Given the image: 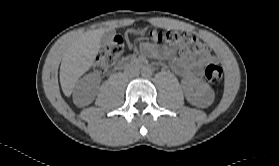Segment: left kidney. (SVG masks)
<instances>
[{
  "mask_svg": "<svg viewBox=\"0 0 279 166\" xmlns=\"http://www.w3.org/2000/svg\"><path fill=\"white\" fill-rule=\"evenodd\" d=\"M186 100L194 106L210 105L214 100V91L199 78H187L182 82Z\"/></svg>",
  "mask_w": 279,
  "mask_h": 166,
  "instance_id": "obj_1",
  "label": "left kidney"
}]
</instances>
